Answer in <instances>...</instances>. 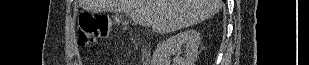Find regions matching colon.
Here are the masks:
<instances>
[{"mask_svg": "<svg viewBox=\"0 0 309 65\" xmlns=\"http://www.w3.org/2000/svg\"><path fill=\"white\" fill-rule=\"evenodd\" d=\"M79 43L85 47L107 37L116 22L107 15L82 12L79 15Z\"/></svg>", "mask_w": 309, "mask_h": 65, "instance_id": "colon-1", "label": "colon"}]
</instances>
